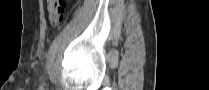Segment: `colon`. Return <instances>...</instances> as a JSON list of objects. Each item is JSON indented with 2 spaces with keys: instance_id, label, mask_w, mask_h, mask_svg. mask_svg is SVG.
<instances>
[{
  "instance_id": "obj_1",
  "label": "colon",
  "mask_w": 209,
  "mask_h": 90,
  "mask_svg": "<svg viewBox=\"0 0 209 90\" xmlns=\"http://www.w3.org/2000/svg\"><path fill=\"white\" fill-rule=\"evenodd\" d=\"M66 0H49L48 1V17L53 26L60 25L66 17Z\"/></svg>"
}]
</instances>
